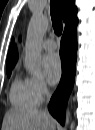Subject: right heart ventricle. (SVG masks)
<instances>
[{
	"instance_id": "1",
	"label": "right heart ventricle",
	"mask_w": 95,
	"mask_h": 130,
	"mask_svg": "<svg viewBox=\"0 0 95 130\" xmlns=\"http://www.w3.org/2000/svg\"><path fill=\"white\" fill-rule=\"evenodd\" d=\"M10 100L18 108H33L39 103L32 90L29 79L19 77L11 85Z\"/></svg>"
}]
</instances>
